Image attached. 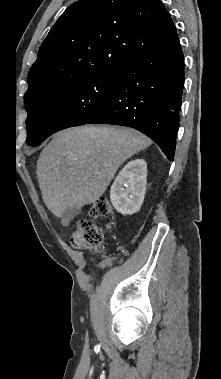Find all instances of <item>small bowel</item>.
I'll return each instance as SVG.
<instances>
[{
	"instance_id": "c3829d8e",
	"label": "small bowel",
	"mask_w": 221,
	"mask_h": 379,
	"mask_svg": "<svg viewBox=\"0 0 221 379\" xmlns=\"http://www.w3.org/2000/svg\"><path fill=\"white\" fill-rule=\"evenodd\" d=\"M111 265V260H105L102 262L101 266L105 267V266H110Z\"/></svg>"
}]
</instances>
